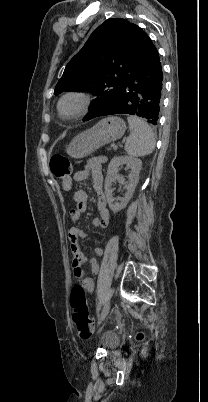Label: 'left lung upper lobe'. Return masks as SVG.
<instances>
[{
  "instance_id": "left-lung-upper-lobe-1",
  "label": "left lung upper lobe",
  "mask_w": 208,
  "mask_h": 402,
  "mask_svg": "<svg viewBox=\"0 0 208 402\" xmlns=\"http://www.w3.org/2000/svg\"><path fill=\"white\" fill-rule=\"evenodd\" d=\"M133 29L134 24L124 19H107L67 64L54 93L75 89L97 96L84 120L95 118L114 101L132 71Z\"/></svg>"
}]
</instances>
